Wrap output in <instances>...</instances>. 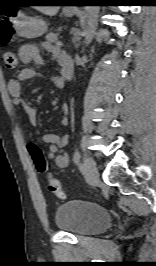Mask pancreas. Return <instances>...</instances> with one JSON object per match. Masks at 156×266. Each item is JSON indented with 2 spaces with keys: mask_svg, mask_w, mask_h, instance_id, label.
I'll list each match as a JSON object with an SVG mask.
<instances>
[{
  "mask_svg": "<svg viewBox=\"0 0 156 266\" xmlns=\"http://www.w3.org/2000/svg\"><path fill=\"white\" fill-rule=\"evenodd\" d=\"M58 33H49L46 35L45 39L46 42H44L42 45L49 47L50 49L53 48V43H56L58 40Z\"/></svg>",
  "mask_w": 156,
  "mask_h": 266,
  "instance_id": "pancreas-1",
  "label": "pancreas"
}]
</instances>
